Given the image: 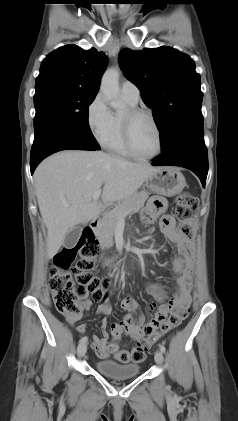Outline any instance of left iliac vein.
Wrapping results in <instances>:
<instances>
[{
    "instance_id": "1",
    "label": "left iliac vein",
    "mask_w": 238,
    "mask_h": 421,
    "mask_svg": "<svg viewBox=\"0 0 238 421\" xmlns=\"http://www.w3.org/2000/svg\"><path fill=\"white\" fill-rule=\"evenodd\" d=\"M154 359H155V362L157 364H162L163 361H164L162 352L161 351H156L155 356H154Z\"/></svg>"
}]
</instances>
